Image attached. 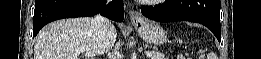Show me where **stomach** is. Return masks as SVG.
Returning <instances> with one entry per match:
<instances>
[{
  "mask_svg": "<svg viewBox=\"0 0 261 59\" xmlns=\"http://www.w3.org/2000/svg\"><path fill=\"white\" fill-rule=\"evenodd\" d=\"M134 27L140 37L149 44L162 45L168 40L162 26L152 20L143 19L138 23H134Z\"/></svg>",
  "mask_w": 261,
  "mask_h": 59,
  "instance_id": "obj_1",
  "label": "stomach"
}]
</instances>
